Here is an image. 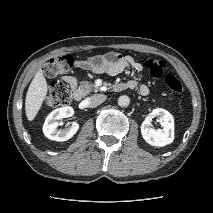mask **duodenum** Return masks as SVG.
Here are the masks:
<instances>
[{
  "label": "duodenum",
  "mask_w": 213,
  "mask_h": 213,
  "mask_svg": "<svg viewBox=\"0 0 213 213\" xmlns=\"http://www.w3.org/2000/svg\"><path fill=\"white\" fill-rule=\"evenodd\" d=\"M126 89H130V86L128 84L118 83L115 85V90H117V91H122V90H126ZM73 97L77 102H81L84 98V93L82 90L77 89L73 92Z\"/></svg>",
  "instance_id": "1"
}]
</instances>
